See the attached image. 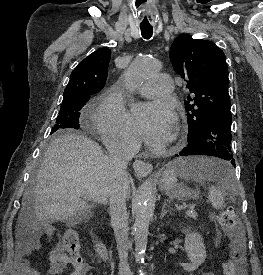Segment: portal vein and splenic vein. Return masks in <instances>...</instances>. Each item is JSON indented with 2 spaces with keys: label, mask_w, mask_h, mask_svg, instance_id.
Instances as JSON below:
<instances>
[{
  "label": "portal vein and splenic vein",
  "mask_w": 263,
  "mask_h": 275,
  "mask_svg": "<svg viewBox=\"0 0 263 275\" xmlns=\"http://www.w3.org/2000/svg\"><path fill=\"white\" fill-rule=\"evenodd\" d=\"M188 206H178L177 209L178 210H182V209H186Z\"/></svg>",
  "instance_id": "18ae733b"
}]
</instances>
